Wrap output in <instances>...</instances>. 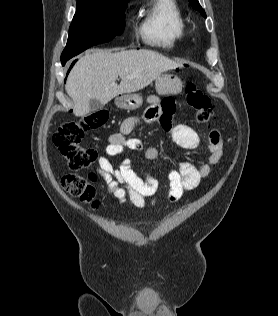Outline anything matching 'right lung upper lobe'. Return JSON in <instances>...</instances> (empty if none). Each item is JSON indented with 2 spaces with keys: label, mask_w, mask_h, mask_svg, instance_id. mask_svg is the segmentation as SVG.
I'll use <instances>...</instances> for the list:
<instances>
[{
  "label": "right lung upper lobe",
  "mask_w": 278,
  "mask_h": 316,
  "mask_svg": "<svg viewBox=\"0 0 278 316\" xmlns=\"http://www.w3.org/2000/svg\"><path fill=\"white\" fill-rule=\"evenodd\" d=\"M77 1L117 2V1H123V0H77Z\"/></svg>",
  "instance_id": "right-lung-upper-lobe-1"
}]
</instances>
